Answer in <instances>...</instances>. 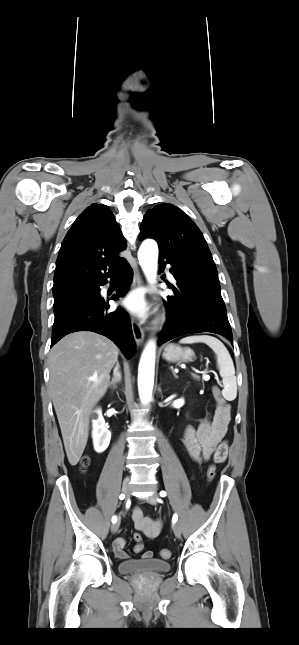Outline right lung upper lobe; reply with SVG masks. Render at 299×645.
<instances>
[{"mask_svg":"<svg viewBox=\"0 0 299 645\" xmlns=\"http://www.w3.org/2000/svg\"><path fill=\"white\" fill-rule=\"evenodd\" d=\"M125 249V238L111 210L103 204H91L77 217L62 242L53 291L105 280L125 262L118 256Z\"/></svg>","mask_w":299,"mask_h":645,"instance_id":"right-lung-upper-lobe-1","label":"right lung upper lobe"}]
</instances>
